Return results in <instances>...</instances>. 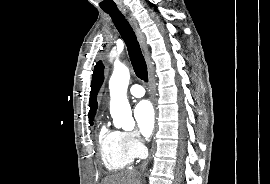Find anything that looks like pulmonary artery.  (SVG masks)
I'll use <instances>...</instances> for the list:
<instances>
[{
  "mask_svg": "<svg viewBox=\"0 0 270 184\" xmlns=\"http://www.w3.org/2000/svg\"><path fill=\"white\" fill-rule=\"evenodd\" d=\"M129 93L133 97L140 98V97L144 96L145 90L141 85L135 84V85L131 86Z\"/></svg>",
  "mask_w": 270,
  "mask_h": 184,
  "instance_id": "e3ab8cb5",
  "label": "pulmonary artery"
}]
</instances>
